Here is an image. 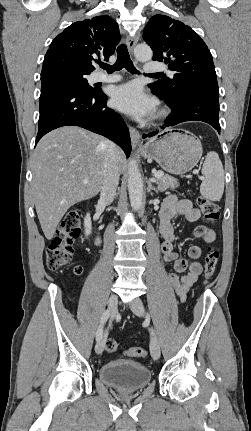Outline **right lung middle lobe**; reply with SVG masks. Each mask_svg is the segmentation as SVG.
<instances>
[{"label": "right lung middle lobe", "mask_w": 251, "mask_h": 431, "mask_svg": "<svg viewBox=\"0 0 251 431\" xmlns=\"http://www.w3.org/2000/svg\"><path fill=\"white\" fill-rule=\"evenodd\" d=\"M91 71H87L75 64L67 61L52 62L42 69L41 81L46 79L63 78L69 80L85 90H93L88 84L86 76Z\"/></svg>", "instance_id": "right-lung-middle-lobe-1"}]
</instances>
